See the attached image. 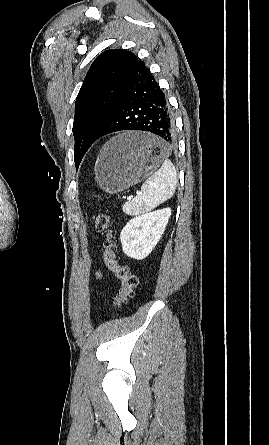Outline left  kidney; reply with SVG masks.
<instances>
[{"instance_id":"5707ae66","label":"left kidney","mask_w":269,"mask_h":445,"mask_svg":"<svg viewBox=\"0 0 269 445\" xmlns=\"http://www.w3.org/2000/svg\"><path fill=\"white\" fill-rule=\"evenodd\" d=\"M170 216L171 208H164L131 219L120 235L123 252L136 260L146 258L159 242Z\"/></svg>"}]
</instances>
